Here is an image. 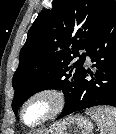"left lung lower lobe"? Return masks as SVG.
Masks as SVG:
<instances>
[{"mask_svg":"<svg viewBox=\"0 0 116 134\" xmlns=\"http://www.w3.org/2000/svg\"><path fill=\"white\" fill-rule=\"evenodd\" d=\"M86 55L95 62V70L83 69L76 94L65 103L58 119L95 106L116 107V3L90 41ZM88 75L91 80L86 79Z\"/></svg>","mask_w":116,"mask_h":134,"instance_id":"obj_1","label":"left lung lower lobe"}]
</instances>
